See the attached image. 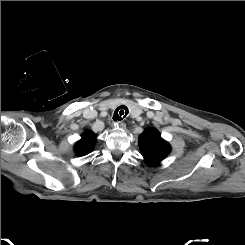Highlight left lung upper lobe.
Returning a JSON list of instances; mask_svg holds the SVG:
<instances>
[{
    "mask_svg": "<svg viewBox=\"0 0 245 245\" xmlns=\"http://www.w3.org/2000/svg\"><path fill=\"white\" fill-rule=\"evenodd\" d=\"M139 146L141 154L150 165L160 163L171 151L170 144L155 128H149L142 133L139 138Z\"/></svg>",
    "mask_w": 245,
    "mask_h": 245,
    "instance_id": "left-lung-upper-lobe-1",
    "label": "left lung upper lobe"
}]
</instances>
